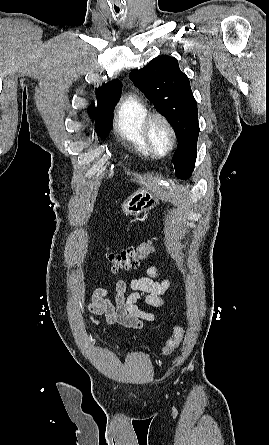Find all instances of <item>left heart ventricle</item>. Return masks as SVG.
<instances>
[{"label": "left heart ventricle", "instance_id": "1", "mask_svg": "<svg viewBox=\"0 0 269 445\" xmlns=\"http://www.w3.org/2000/svg\"><path fill=\"white\" fill-rule=\"evenodd\" d=\"M151 139L156 149L164 153L170 145V135L165 126L160 122H155L151 128Z\"/></svg>", "mask_w": 269, "mask_h": 445}]
</instances>
